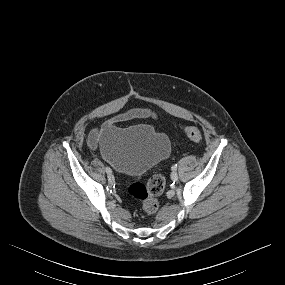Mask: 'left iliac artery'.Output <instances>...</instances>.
<instances>
[{"mask_svg": "<svg viewBox=\"0 0 285 285\" xmlns=\"http://www.w3.org/2000/svg\"><path fill=\"white\" fill-rule=\"evenodd\" d=\"M171 169H172L173 171H175V170L177 169V165H176V164L173 165V166L171 167Z\"/></svg>", "mask_w": 285, "mask_h": 285, "instance_id": "left-iliac-artery-1", "label": "left iliac artery"}]
</instances>
